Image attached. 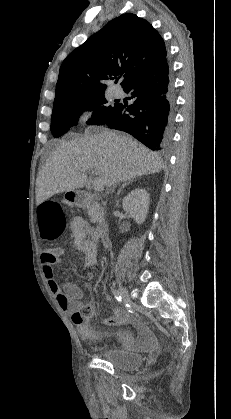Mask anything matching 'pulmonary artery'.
<instances>
[{
    "label": "pulmonary artery",
    "mask_w": 231,
    "mask_h": 419,
    "mask_svg": "<svg viewBox=\"0 0 231 419\" xmlns=\"http://www.w3.org/2000/svg\"><path fill=\"white\" fill-rule=\"evenodd\" d=\"M112 94H113V96H114V97H116V98H121V97H123V96H124V91H123V89H122L121 87L116 86V87H114V88L112 89Z\"/></svg>",
    "instance_id": "pulmonary-artery-1"
}]
</instances>
